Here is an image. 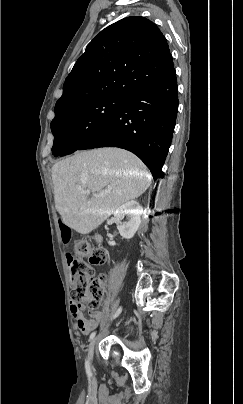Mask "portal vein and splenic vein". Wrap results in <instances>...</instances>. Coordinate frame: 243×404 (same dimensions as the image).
I'll use <instances>...</instances> for the list:
<instances>
[{"mask_svg":"<svg viewBox=\"0 0 243 404\" xmlns=\"http://www.w3.org/2000/svg\"><path fill=\"white\" fill-rule=\"evenodd\" d=\"M132 176V174H130ZM81 194H90V190H82ZM104 194H108V192H101V194H96V196H104Z\"/></svg>","mask_w":243,"mask_h":404,"instance_id":"portal-vein-and-splenic-vein-1","label":"portal vein and splenic vein"}]
</instances>
